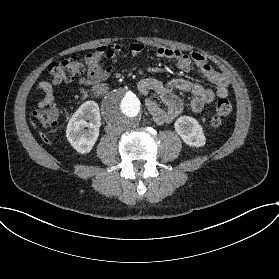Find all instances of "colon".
<instances>
[{"label":"colon","mask_w":279,"mask_h":279,"mask_svg":"<svg viewBox=\"0 0 279 279\" xmlns=\"http://www.w3.org/2000/svg\"><path fill=\"white\" fill-rule=\"evenodd\" d=\"M85 66L81 59L72 56L66 60L49 65L48 71L52 81L56 84L70 80L74 76L84 72ZM232 104L227 98H222L216 104L215 113L211 119V125L218 127L230 115ZM59 110L54 104L46 103L44 107L33 109L32 115L35 121L44 128L53 127L56 124Z\"/></svg>","instance_id":"1"}]
</instances>
